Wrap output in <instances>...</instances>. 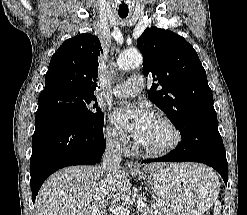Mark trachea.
I'll return each mask as SVG.
<instances>
[{
  "mask_svg": "<svg viewBox=\"0 0 247 215\" xmlns=\"http://www.w3.org/2000/svg\"><path fill=\"white\" fill-rule=\"evenodd\" d=\"M127 15H128V14L119 13V16H120L121 18H125V17H127Z\"/></svg>",
  "mask_w": 247,
  "mask_h": 215,
  "instance_id": "obj_1",
  "label": "trachea"
}]
</instances>
